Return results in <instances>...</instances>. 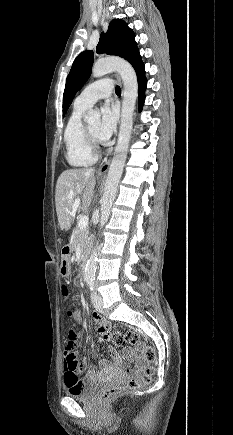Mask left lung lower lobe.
I'll return each mask as SVG.
<instances>
[{
    "instance_id": "1",
    "label": "left lung lower lobe",
    "mask_w": 233,
    "mask_h": 435,
    "mask_svg": "<svg viewBox=\"0 0 233 435\" xmlns=\"http://www.w3.org/2000/svg\"><path fill=\"white\" fill-rule=\"evenodd\" d=\"M138 79V95H139V111L142 110V106L145 100V89L147 88V80L145 77L144 65L135 69Z\"/></svg>"
}]
</instances>
